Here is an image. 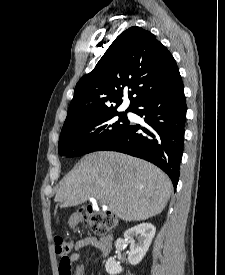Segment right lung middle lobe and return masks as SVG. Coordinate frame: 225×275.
I'll list each match as a JSON object with an SVG mask.
<instances>
[{"label": "right lung middle lobe", "instance_id": "right-lung-middle-lobe-1", "mask_svg": "<svg viewBox=\"0 0 225 275\" xmlns=\"http://www.w3.org/2000/svg\"><path fill=\"white\" fill-rule=\"evenodd\" d=\"M126 112L106 111L64 126L59 138V154L76 157L97 151L128 125ZM115 116H119L117 121L113 119Z\"/></svg>", "mask_w": 225, "mask_h": 275}]
</instances>
